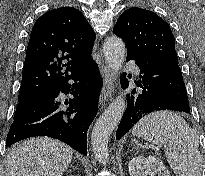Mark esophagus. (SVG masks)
Masks as SVG:
<instances>
[{
	"mask_svg": "<svg viewBox=\"0 0 205 176\" xmlns=\"http://www.w3.org/2000/svg\"><path fill=\"white\" fill-rule=\"evenodd\" d=\"M100 71L103 79V86L99 96V105L101 106L108 99L112 98V92H114V78L113 73L107 66L102 65Z\"/></svg>",
	"mask_w": 205,
	"mask_h": 176,
	"instance_id": "1",
	"label": "esophagus"
}]
</instances>
